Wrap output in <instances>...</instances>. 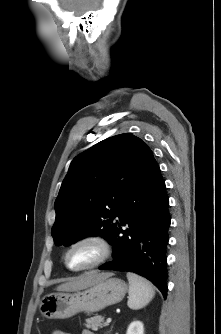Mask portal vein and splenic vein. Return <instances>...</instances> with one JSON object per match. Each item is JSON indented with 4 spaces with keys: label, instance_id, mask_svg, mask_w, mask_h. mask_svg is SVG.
Returning <instances> with one entry per match:
<instances>
[{
    "label": "portal vein and splenic vein",
    "instance_id": "1",
    "mask_svg": "<svg viewBox=\"0 0 221 334\" xmlns=\"http://www.w3.org/2000/svg\"><path fill=\"white\" fill-rule=\"evenodd\" d=\"M112 319L111 318H107L106 319V323H111Z\"/></svg>",
    "mask_w": 221,
    "mask_h": 334
}]
</instances>
